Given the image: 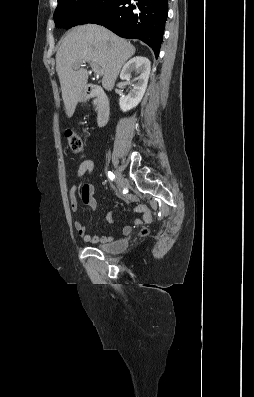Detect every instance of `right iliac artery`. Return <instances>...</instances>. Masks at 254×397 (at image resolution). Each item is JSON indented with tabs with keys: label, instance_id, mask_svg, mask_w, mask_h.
I'll list each match as a JSON object with an SVG mask.
<instances>
[{
	"label": "right iliac artery",
	"instance_id": "1",
	"mask_svg": "<svg viewBox=\"0 0 254 397\" xmlns=\"http://www.w3.org/2000/svg\"><path fill=\"white\" fill-rule=\"evenodd\" d=\"M108 177H109L110 180H112V181H114V179H115V176H114V174H113L111 171L108 172Z\"/></svg>",
	"mask_w": 254,
	"mask_h": 397
}]
</instances>
